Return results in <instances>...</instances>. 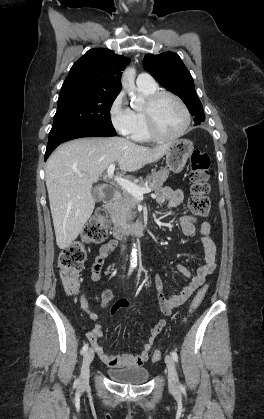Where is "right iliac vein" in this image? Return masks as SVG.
<instances>
[{
	"label": "right iliac vein",
	"instance_id": "right-iliac-vein-1",
	"mask_svg": "<svg viewBox=\"0 0 264 419\" xmlns=\"http://www.w3.org/2000/svg\"><path fill=\"white\" fill-rule=\"evenodd\" d=\"M94 359V351L89 349L83 359L82 369H81V384L86 385L89 381V372H90V364Z\"/></svg>",
	"mask_w": 264,
	"mask_h": 419
}]
</instances>
